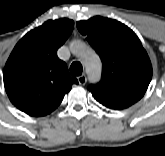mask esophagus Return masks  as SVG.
Listing matches in <instances>:
<instances>
[{"label": "esophagus", "mask_w": 165, "mask_h": 156, "mask_svg": "<svg viewBox=\"0 0 165 156\" xmlns=\"http://www.w3.org/2000/svg\"><path fill=\"white\" fill-rule=\"evenodd\" d=\"M77 79L80 85H85L87 82V77L85 75H81Z\"/></svg>", "instance_id": "1"}]
</instances>
